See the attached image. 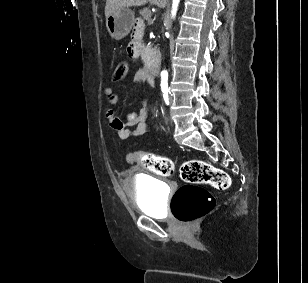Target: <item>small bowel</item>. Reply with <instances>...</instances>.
Returning a JSON list of instances; mask_svg holds the SVG:
<instances>
[{"label": "small bowel", "mask_w": 308, "mask_h": 283, "mask_svg": "<svg viewBox=\"0 0 308 283\" xmlns=\"http://www.w3.org/2000/svg\"><path fill=\"white\" fill-rule=\"evenodd\" d=\"M144 35V23L137 20L131 35V39L127 45V54L132 58L142 57V39ZM149 71L146 68L139 69L134 76L135 81H147ZM104 95L110 105L107 111V118L110 127L115 131L121 139L129 137H137L147 134L151 131L148 124V111L145 108H140L134 112L125 113L122 117L117 115L118 97L115 94L112 86L104 88Z\"/></svg>", "instance_id": "obj_1"}]
</instances>
